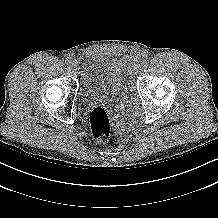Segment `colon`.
<instances>
[{
	"instance_id": "5ec220e1",
	"label": "colon",
	"mask_w": 218,
	"mask_h": 218,
	"mask_svg": "<svg viewBox=\"0 0 218 218\" xmlns=\"http://www.w3.org/2000/svg\"><path fill=\"white\" fill-rule=\"evenodd\" d=\"M92 136L96 143L105 144L111 136V120L107 110L102 106L92 109L89 116Z\"/></svg>"
}]
</instances>
